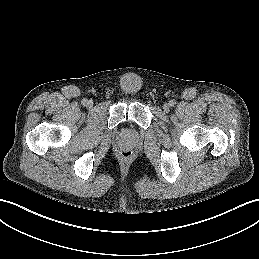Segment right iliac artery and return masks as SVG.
<instances>
[{
	"label": "right iliac artery",
	"instance_id": "1",
	"mask_svg": "<svg viewBox=\"0 0 259 259\" xmlns=\"http://www.w3.org/2000/svg\"><path fill=\"white\" fill-rule=\"evenodd\" d=\"M87 102H88V100H87V99H83V100H82V104H83V105H86V104H87Z\"/></svg>",
	"mask_w": 259,
	"mask_h": 259
}]
</instances>
